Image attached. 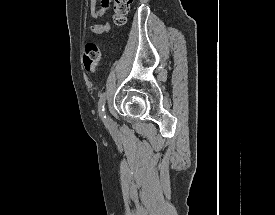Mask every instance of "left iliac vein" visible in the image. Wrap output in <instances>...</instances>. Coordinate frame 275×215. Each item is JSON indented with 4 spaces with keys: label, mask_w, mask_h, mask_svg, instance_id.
Returning a JSON list of instances; mask_svg holds the SVG:
<instances>
[{
    "label": "left iliac vein",
    "mask_w": 275,
    "mask_h": 215,
    "mask_svg": "<svg viewBox=\"0 0 275 215\" xmlns=\"http://www.w3.org/2000/svg\"><path fill=\"white\" fill-rule=\"evenodd\" d=\"M106 123L108 126H110L112 124V119L110 117H107Z\"/></svg>",
    "instance_id": "4c4485c4"
}]
</instances>
